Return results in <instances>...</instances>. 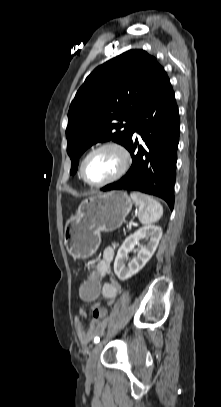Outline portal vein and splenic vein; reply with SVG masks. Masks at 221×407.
<instances>
[{"mask_svg": "<svg viewBox=\"0 0 221 407\" xmlns=\"http://www.w3.org/2000/svg\"><path fill=\"white\" fill-rule=\"evenodd\" d=\"M127 228H128V229H131V228H132V224L129 223V224L127 225Z\"/></svg>", "mask_w": 221, "mask_h": 407, "instance_id": "1", "label": "portal vein and splenic vein"}]
</instances>
